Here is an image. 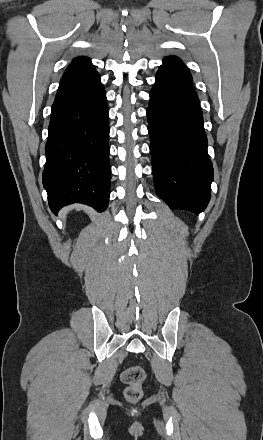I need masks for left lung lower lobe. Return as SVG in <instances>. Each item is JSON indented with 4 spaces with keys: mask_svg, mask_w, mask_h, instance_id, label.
<instances>
[{
    "mask_svg": "<svg viewBox=\"0 0 263 440\" xmlns=\"http://www.w3.org/2000/svg\"><path fill=\"white\" fill-rule=\"evenodd\" d=\"M147 117L158 195L171 209L199 214L210 200L213 167L192 76L176 56L157 71Z\"/></svg>",
    "mask_w": 263,
    "mask_h": 440,
    "instance_id": "obj_1",
    "label": "left lung lower lobe"
}]
</instances>
